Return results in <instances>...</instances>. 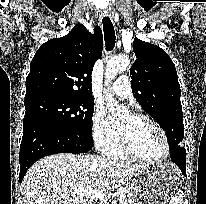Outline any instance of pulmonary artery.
Segmentation results:
<instances>
[{"instance_id": "obj_1", "label": "pulmonary artery", "mask_w": 206, "mask_h": 204, "mask_svg": "<svg viewBox=\"0 0 206 204\" xmlns=\"http://www.w3.org/2000/svg\"><path fill=\"white\" fill-rule=\"evenodd\" d=\"M111 91L119 97L130 98L132 96V89L128 77L127 76L119 77L112 84Z\"/></svg>"}]
</instances>
